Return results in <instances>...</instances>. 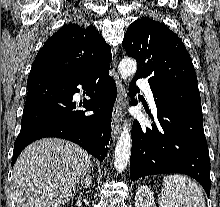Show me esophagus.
Returning a JSON list of instances; mask_svg holds the SVG:
<instances>
[{
  "instance_id": "34e87169",
  "label": "esophagus",
  "mask_w": 220,
  "mask_h": 207,
  "mask_svg": "<svg viewBox=\"0 0 220 207\" xmlns=\"http://www.w3.org/2000/svg\"><path fill=\"white\" fill-rule=\"evenodd\" d=\"M115 81L118 88V96L116 102L113 107L112 113V139L115 140L119 133L121 127V116H122V106L124 105V97H125V88L122 84L121 79L119 78L118 74L115 73Z\"/></svg>"
}]
</instances>
